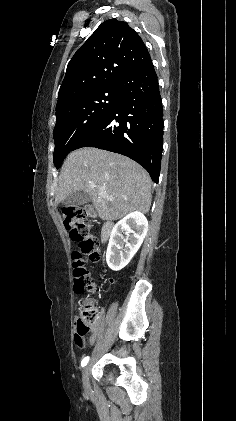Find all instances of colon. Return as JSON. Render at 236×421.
<instances>
[{"instance_id": "5ec220e1", "label": "colon", "mask_w": 236, "mask_h": 421, "mask_svg": "<svg viewBox=\"0 0 236 421\" xmlns=\"http://www.w3.org/2000/svg\"><path fill=\"white\" fill-rule=\"evenodd\" d=\"M64 224L71 239L77 243V249L72 253L74 275V290L78 294L92 292L96 284L87 269V258L91 261L99 259L98 242L91 232V225L85 221L86 213L80 207L64 209ZM100 318L99 309L91 302H84L79 308L75 344L82 348L85 346L86 335L91 331Z\"/></svg>"}]
</instances>
